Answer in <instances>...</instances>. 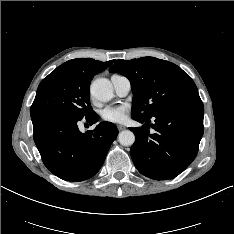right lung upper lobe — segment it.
Returning a JSON list of instances; mask_svg holds the SVG:
<instances>
[{
    "label": "right lung upper lobe",
    "instance_id": "1",
    "mask_svg": "<svg viewBox=\"0 0 234 234\" xmlns=\"http://www.w3.org/2000/svg\"><path fill=\"white\" fill-rule=\"evenodd\" d=\"M113 62L114 60L101 62L91 58L72 59L60 65L58 68L67 69L90 84L94 75L104 71Z\"/></svg>",
    "mask_w": 234,
    "mask_h": 234
}]
</instances>
